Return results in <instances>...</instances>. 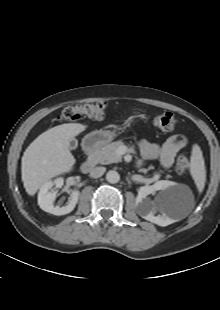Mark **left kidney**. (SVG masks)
I'll use <instances>...</instances> for the list:
<instances>
[{"mask_svg": "<svg viewBox=\"0 0 220 310\" xmlns=\"http://www.w3.org/2000/svg\"><path fill=\"white\" fill-rule=\"evenodd\" d=\"M176 189L177 184L168 180H161L157 181L151 186L140 187L136 198V203L138 205V212L140 216L159 226L169 225L172 222L171 218H169L165 214H163L162 216L154 215V209L158 207L162 208L166 203V198L164 196H159L154 202H151L147 199V196L158 190H162L166 194H170Z\"/></svg>", "mask_w": 220, "mask_h": 310, "instance_id": "1", "label": "left kidney"}]
</instances>
